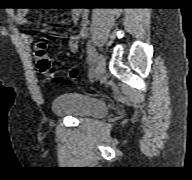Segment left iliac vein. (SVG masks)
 Wrapping results in <instances>:
<instances>
[{
    "label": "left iliac vein",
    "mask_w": 192,
    "mask_h": 180,
    "mask_svg": "<svg viewBox=\"0 0 192 180\" xmlns=\"http://www.w3.org/2000/svg\"><path fill=\"white\" fill-rule=\"evenodd\" d=\"M106 70V59L103 54H99L96 59V68L94 71V77L99 78L104 74Z\"/></svg>",
    "instance_id": "1"
}]
</instances>
